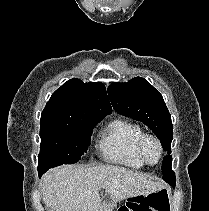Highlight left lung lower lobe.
<instances>
[{"mask_svg": "<svg viewBox=\"0 0 209 211\" xmlns=\"http://www.w3.org/2000/svg\"><path fill=\"white\" fill-rule=\"evenodd\" d=\"M167 183H169L171 186H175V176L172 178H166L164 179Z\"/></svg>", "mask_w": 209, "mask_h": 211, "instance_id": "left-lung-lower-lobe-1", "label": "left lung lower lobe"}]
</instances>
